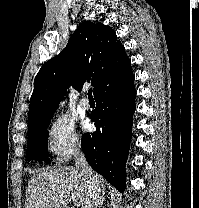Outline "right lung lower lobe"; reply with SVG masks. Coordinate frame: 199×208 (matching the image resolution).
<instances>
[{"label": "right lung lower lobe", "mask_w": 199, "mask_h": 208, "mask_svg": "<svg viewBox=\"0 0 199 208\" xmlns=\"http://www.w3.org/2000/svg\"><path fill=\"white\" fill-rule=\"evenodd\" d=\"M136 91L133 73L95 96L90 115L97 127L82 137V150L90 166L119 191L125 190Z\"/></svg>", "instance_id": "obj_1"}]
</instances>
